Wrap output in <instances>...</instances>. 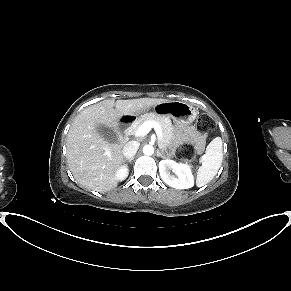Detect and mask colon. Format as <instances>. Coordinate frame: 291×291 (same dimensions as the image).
I'll list each match as a JSON object with an SVG mask.
<instances>
[{
    "mask_svg": "<svg viewBox=\"0 0 291 291\" xmlns=\"http://www.w3.org/2000/svg\"><path fill=\"white\" fill-rule=\"evenodd\" d=\"M214 123L212 118L202 115L198 118L196 128L198 131L205 132L212 130ZM176 155L185 162H193L196 157V151L192 144L185 143L180 145L176 150Z\"/></svg>",
    "mask_w": 291,
    "mask_h": 291,
    "instance_id": "5ec220e1",
    "label": "colon"
}]
</instances>
